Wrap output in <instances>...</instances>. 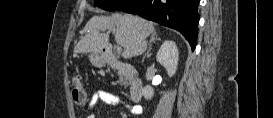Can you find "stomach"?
I'll return each mask as SVG.
<instances>
[{
  "mask_svg": "<svg viewBox=\"0 0 273 118\" xmlns=\"http://www.w3.org/2000/svg\"><path fill=\"white\" fill-rule=\"evenodd\" d=\"M89 59L90 62L97 67H101L105 64V56L102 52H93Z\"/></svg>",
  "mask_w": 273,
  "mask_h": 118,
  "instance_id": "0dacf381",
  "label": "stomach"
}]
</instances>
